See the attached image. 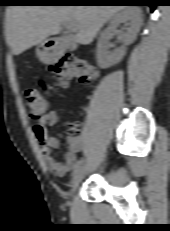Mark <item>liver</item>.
Wrapping results in <instances>:
<instances>
[{
	"instance_id": "1",
	"label": "liver",
	"mask_w": 170,
	"mask_h": 231,
	"mask_svg": "<svg viewBox=\"0 0 170 231\" xmlns=\"http://www.w3.org/2000/svg\"><path fill=\"white\" fill-rule=\"evenodd\" d=\"M120 5H22L6 11V40L14 55L40 44L47 37L57 35L64 25H71L75 40L90 44L102 26L125 9Z\"/></svg>"
}]
</instances>
